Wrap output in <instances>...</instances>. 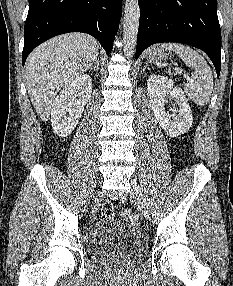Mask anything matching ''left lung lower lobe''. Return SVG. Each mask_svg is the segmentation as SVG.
I'll return each mask as SVG.
<instances>
[{
  "label": "left lung lower lobe",
  "instance_id": "0a47b994",
  "mask_svg": "<svg viewBox=\"0 0 233 286\" xmlns=\"http://www.w3.org/2000/svg\"><path fill=\"white\" fill-rule=\"evenodd\" d=\"M140 20L136 58L152 44L180 42L203 50L217 75L221 69V30L217 0H138Z\"/></svg>",
  "mask_w": 233,
  "mask_h": 286
}]
</instances>
